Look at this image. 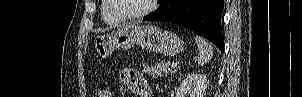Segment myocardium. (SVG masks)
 <instances>
[{
    "instance_id": "f54148a6",
    "label": "myocardium",
    "mask_w": 302,
    "mask_h": 97,
    "mask_svg": "<svg viewBox=\"0 0 302 97\" xmlns=\"http://www.w3.org/2000/svg\"><path fill=\"white\" fill-rule=\"evenodd\" d=\"M107 1L109 3L110 9H111V12L113 13V15L122 21H134V20L144 18L154 10L155 4H156V0H149V4L144 10H142L138 13L132 14V15H125L118 11L116 4H115V0H107Z\"/></svg>"
}]
</instances>
